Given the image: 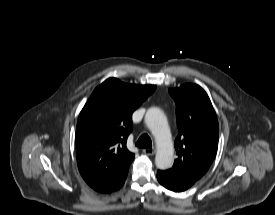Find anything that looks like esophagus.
<instances>
[{"label": "esophagus", "mask_w": 275, "mask_h": 215, "mask_svg": "<svg viewBox=\"0 0 275 215\" xmlns=\"http://www.w3.org/2000/svg\"><path fill=\"white\" fill-rule=\"evenodd\" d=\"M155 149L154 148H146V149H143V153L145 155H148V156H152L155 154Z\"/></svg>", "instance_id": "esophagus-1"}]
</instances>
